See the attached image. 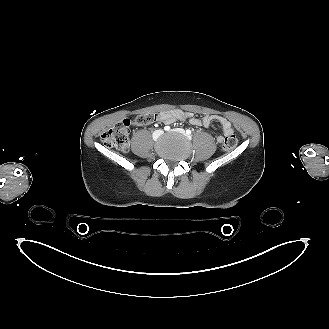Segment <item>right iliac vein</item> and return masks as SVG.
Masks as SVG:
<instances>
[{
	"instance_id": "obj_1",
	"label": "right iliac vein",
	"mask_w": 329,
	"mask_h": 329,
	"mask_svg": "<svg viewBox=\"0 0 329 329\" xmlns=\"http://www.w3.org/2000/svg\"><path fill=\"white\" fill-rule=\"evenodd\" d=\"M162 134V131L161 130H157L155 131V133L153 134V137L156 139L158 138V136H160Z\"/></svg>"
}]
</instances>
